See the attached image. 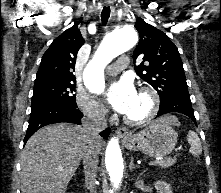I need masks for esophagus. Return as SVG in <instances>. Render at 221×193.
<instances>
[{"instance_id":"obj_1","label":"esophagus","mask_w":221,"mask_h":193,"mask_svg":"<svg viewBox=\"0 0 221 193\" xmlns=\"http://www.w3.org/2000/svg\"><path fill=\"white\" fill-rule=\"evenodd\" d=\"M104 3L106 6H109L113 3V1L112 0H104ZM116 134H117V136L124 138L128 134V130L126 128H118L116 130Z\"/></svg>"}]
</instances>
